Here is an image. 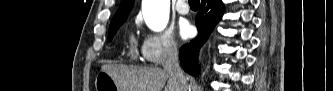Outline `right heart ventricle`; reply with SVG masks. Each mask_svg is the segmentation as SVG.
Segmentation results:
<instances>
[{
	"mask_svg": "<svg viewBox=\"0 0 333 91\" xmlns=\"http://www.w3.org/2000/svg\"><path fill=\"white\" fill-rule=\"evenodd\" d=\"M130 55H131L132 58H136V52H135V49L133 47V39H131Z\"/></svg>",
	"mask_w": 333,
	"mask_h": 91,
	"instance_id": "e07e8e85",
	"label": "right heart ventricle"
}]
</instances>
